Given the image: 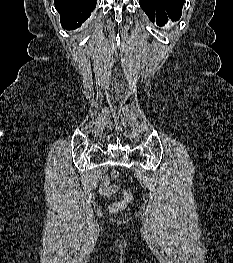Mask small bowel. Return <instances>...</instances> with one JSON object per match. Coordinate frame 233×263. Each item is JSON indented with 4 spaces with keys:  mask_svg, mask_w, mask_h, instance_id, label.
<instances>
[{
    "mask_svg": "<svg viewBox=\"0 0 233 263\" xmlns=\"http://www.w3.org/2000/svg\"><path fill=\"white\" fill-rule=\"evenodd\" d=\"M118 190V187L116 185H112L110 183V178L109 176H104L101 179V183H100V188L99 191L100 193L107 197V198H111V196L116 193Z\"/></svg>",
    "mask_w": 233,
    "mask_h": 263,
    "instance_id": "1",
    "label": "small bowel"
}]
</instances>
